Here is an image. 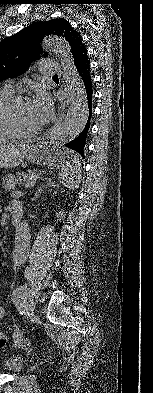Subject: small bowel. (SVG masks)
<instances>
[{
	"label": "small bowel",
	"instance_id": "c3829d8e",
	"mask_svg": "<svg viewBox=\"0 0 153 393\" xmlns=\"http://www.w3.org/2000/svg\"><path fill=\"white\" fill-rule=\"evenodd\" d=\"M3 310L0 308V318L2 317Z\"/></svg>",
	"mask_w": 153,
	"mask_h": 393
}]
</instances>
